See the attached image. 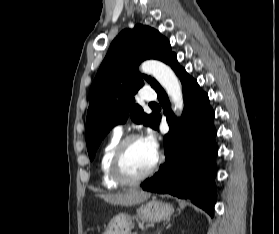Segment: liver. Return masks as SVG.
<instances>
[{"mask_svg":"<svg viewBox=\"0 0 279 234\" xmlns=\"http://www.w3.org/2000/svg\"><path fill=\"white\" fill-rule=\"evenodd\" d=\"M98 196L112 205L132 206L147 200L150 197V193L138 190H129L125 193L101 194Z\"/></svg>","mask_w":279,"mask_h":234,"instance_id":"liver-1","label":"liver"}]
</instances>
